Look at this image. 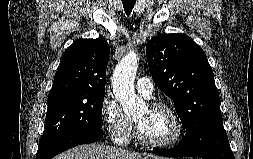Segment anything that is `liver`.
Segmentation results:
<instances>
[{
	"label": "liver",
	"instance_id": "1",
	"mask_svg": "<svg viewBox=\"0 0 253 159\" xmlns=\"http://www.w3.org/2000/svg\"><path fill=\"white\" fill-rule=\"evenodd\" d=\"M158 157L152 154L138 153L102 144H85L74 147L53 159H148ZM161 159H166L159 157Z\"/></svg>",
	"mask_w": 253,
	"mask_h": 159
}]
</instances>
